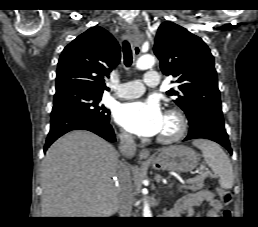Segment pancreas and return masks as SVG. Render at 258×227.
Segmentation results:
<instances>
[{
    "mask_svg": "<svg viewBox=\"0 0 258 227\" xmlns=\"http://www.w3.org/2000/svg\"><path fill=\"white\" fill-rule=\"evenodd\" d=\"M198 177H199L198 182L190 184L189 186H181V189L197 191V190H200L201 188H203V186H204L203 180L206 177V174L200 175ZM186 192L187 191H185V193Z\"/></svg>",
    "mask_w": 258,
    "mask_h": 227,
    "instance_id": "pancreas-1",
    "label": "pancreas"
}]
</instances>
